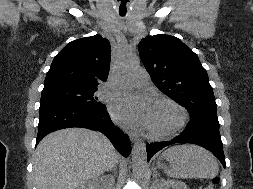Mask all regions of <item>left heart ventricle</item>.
Segmentation results:
<instances>
[{
    "label": "left heart ventricle",
    "mask_w": 253,
    "mask_h": 189,
    "mask_svg": "<svg viewBox=\"0 0 253 189\" xmlns=\"http://www.w3.org/2000/svg\"><path fill=\"white\" fill-rule=\"evenodd\" d=\"M177 120V113L165 104L153 105L148 128L164 131L171 128Z\"/></svg>",
    "instance_id": "b2bd125f"
}]
</instances>
